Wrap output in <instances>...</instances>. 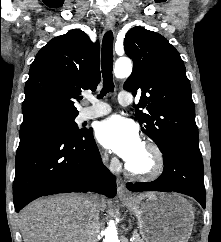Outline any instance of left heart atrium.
<instances>
[{
  "label": "left heart atrium",
  "mask_w": 221,
  "mask_h": 242,
  "mask_svg": "<svg viewBox=\"0 0 221 242\" xmlns=\"http://www.w3.org/2000/svg\"><path fill=\"white\" fill-rule=\"evenodd\" d=\"M97 140L130 162L142 147L137 126L120 116H113L101 122L96 130Z\"/></svg>",
  "instance_id": "obj_1"
}]
</instances>
